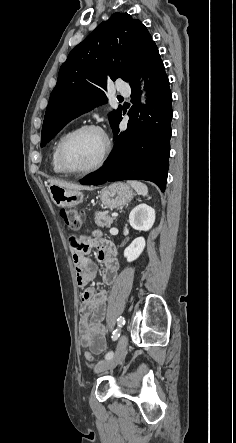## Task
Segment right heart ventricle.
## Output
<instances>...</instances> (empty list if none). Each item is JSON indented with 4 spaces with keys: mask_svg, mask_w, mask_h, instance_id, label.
Listing matches in <instances>:
<instances>
[{
    "mask_svg": "<svg viewBox=\"0 0 236 443\" xmlns=\"http://www.w3.org/2000/svg\"><path fill=\"white\" fill-rule=\"evenodd\" d=\"M70 132V130H66L64 132H62L57 139L55 140L53 147H52V151H51V159H50V163H51V167L52 170L57 173V174H64L65 172L62 170V168L59 165L58 162V148L60 143L62 142V140L64 139V137Z\"/></svg>",
    "mask_w": 236,
    "mask_h": 443,
    "instance_id": "obj_1",
    "label": "right heart ventricle"
}]
</instances>
